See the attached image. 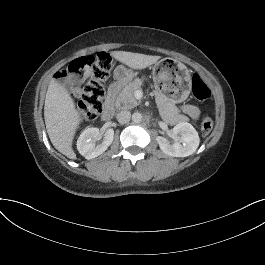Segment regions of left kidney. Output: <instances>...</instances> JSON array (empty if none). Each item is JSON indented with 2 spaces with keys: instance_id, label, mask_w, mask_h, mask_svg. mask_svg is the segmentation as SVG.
Instances as JSON below:
<instances>
[{
  "instance_id": "left-kidney-1",
  "label": "left kidney",
  "mask_w": 265,
  "mask_h": 265,
  "mask_svg": "<svg viewBox=\"0 0 265 265\" xmlns=\"http://www.w3.org/2000/svg\"><path fill=\"white\" fill-rule=\"evenodd\" d=\"M156 140L163 153L173 157H187L192 155L198 148L200 142L198 132L187 122L178 123L173 128L171 140L162 136H158Z\"/></svg>"
}]
</instances>
